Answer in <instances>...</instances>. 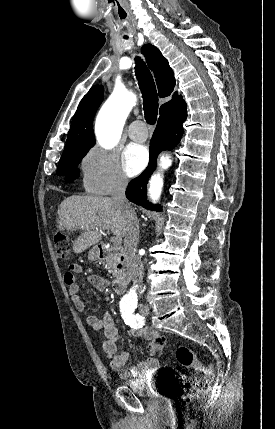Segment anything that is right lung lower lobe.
I'll return each mask as SVG.
<instances>
[{"label": "right lung lower lobe", "instance_id": "right-lung-lower-lobe-1", "mask_svg": "<svg viewBox=\"0 0 275 429\" xmlns=\"http://www.w3.org/2000/svg\"><path fill=\"white\" fill-rule=\"evenodd\" d=\"M186 117V103H181L173 113L158 120L150 143L149 164L140 176L130 181L126 190V197L131 202L146 209L161 211L158 205L150 206L146 198L147 181L156 168L158 154L164 150H172L179 143L183 134L182 123Z\"/></svg>", "mask_w": 275, "mask_h": 429}]
</instances>
